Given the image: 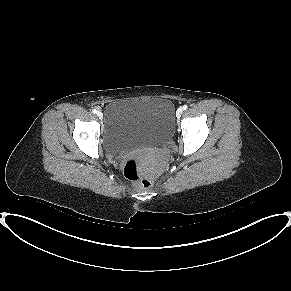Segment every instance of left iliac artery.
<instances>
[{"label": "left iliac artery", "instance_id": "1", "mask_svg": "<svg viewBox=\"0 0 291 291\" xmlns=\"http://www.w3.org/2000/svg\"><path fill=\"white\" fill-rule=\"evenodd\" d=\"M182 108H183V110H186L188 108V106L184 105Z\"/></svg>", "mask_w": 291, "mask_h": 291}]
</instances>
